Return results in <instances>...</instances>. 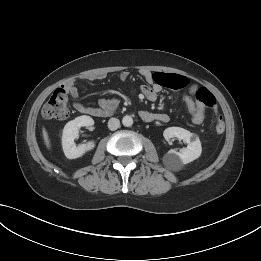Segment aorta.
I'll use <instances>...</instances> for the list:
<instances>
[{"instance_id": "obj_1", "label": "aorta", "mask_w": 261, "mask_h": 261, "mask_svg": "<svg viewBox=\"0 0 261 261\" xmlns=\"http://www.w3.org/2000/svg\"><path fill=\"white\" fill-rule=\"evenodd\" d=\"M122 124L125 126V127H130L132 126L133 124V118L129 115H126L122 118Z\"/></svg>"}]
</instances>
